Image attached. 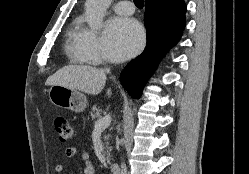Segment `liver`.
I'll list each match as a JSON object with an SVG mask.
<instances>
[{"label":"liver","mask_w":249,"mask_h":174,"mask_svg":"<svg viewBox=\"0 0 249 174\" xmlns=\"http://www.w3.org/2000/svg\"><path fill=\"white\" fill-rule=\"evenodd\" d=\"M106 74L103 70L87 65H69L51 75L46 85H61L91 95H98L105 86ZM107 95L110 97L111 90Z\"/></svg>","instance_id":"1"}]
</instances>
